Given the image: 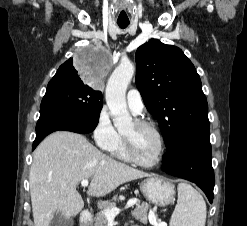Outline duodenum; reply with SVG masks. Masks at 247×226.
Instances as JSON below:
<instances>
[{
    "mask_svg": "<svg viewBox=\"0 0 247 226\" xmlns=\"http://www.w3.org/2000/svg\"><path fill=\"white\" fill-rule=\"evenodd\" d=\"M81 219L83 223L82 226H87L90 221V214L87 211L83 212L81 215Z\"/></svg>",
    "mask_w": 247,
    "mask_h": 226,
    "instance_id": "410a0bca",
    "label": "duodenum"
}]
</instances>
